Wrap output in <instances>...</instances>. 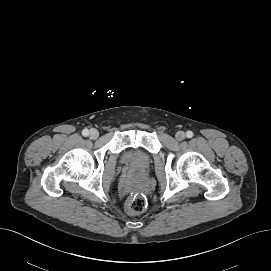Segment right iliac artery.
Here are the masks:
<instances>
[{"mask_svg":"<svg viewBox=\"0 0 271 271\" xmlns=\"http://www.w3.org/2000/svg\"><path fill=\"white\" fill-rule=\"evenodd\" d=\"M82 135H83V136H88V135H89L88 129H84V130L82 131Z\"/></svg>","mask_w":271,"mask_h":271,"instance_id":"right-iliac-artery-1","label":"right iliac artery"}]
</instances>
